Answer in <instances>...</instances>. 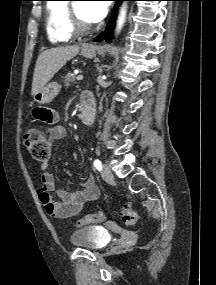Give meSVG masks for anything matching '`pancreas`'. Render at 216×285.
Returning <instances> with one entry per match:
<instances>
[{"label": "pancreas", "mask_w": 216, "mask_h": 285, "mask_svg": "<svg viewBox=\"0 0 216 285\" xmlns=\"http://www.w3.org/2000/svg\"><path fill=\"white\" fill-rule=\"evenodd\" d=\"M76 79H77V76L74 73L68 72L63 81L64 86L66 87L70 86L72 83H75Z\"/></svg>", "instance_id": "pancreas-1"}]
</instances>
